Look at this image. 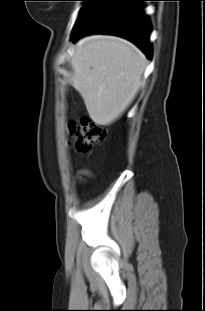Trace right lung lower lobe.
Masks as SVG:
<instances>
[{"instance_id": "98d812e1", "label": "right lung lower lobe", "mask_w": 205, "mask_h": 311, "mask_svg": "<svg viewBox=\"0 0 205 311\" xmlns=\"http://www.w3.org/2000/svg\"><path fill=\"white\" fill-rule=\"evenodd\" d=\"M145 0H91L75 24L71 40L91 33L124 37L151 58V27L143 11Z\"/></svg>"}]
</instances>
